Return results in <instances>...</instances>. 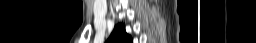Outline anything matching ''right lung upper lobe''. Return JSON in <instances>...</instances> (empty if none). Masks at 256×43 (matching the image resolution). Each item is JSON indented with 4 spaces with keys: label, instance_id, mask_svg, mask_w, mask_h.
<instances>
[{
    "label": "right lung upper lobe",
    "instance_id": "obj_1",
    "mask_svg": "<svg viewBox=\"0 0 256 43\" xmlns=\"http://www.w3.org/2000/svg\"><path fill=\"white\" fill-rule=\"evenodd\" d=\"M108 43H131V37L126 33L125 26L118 24L107 40Z\"/></svg>",
    "mask_w": 256,
    "mask_h": 43
}]
</instances>
